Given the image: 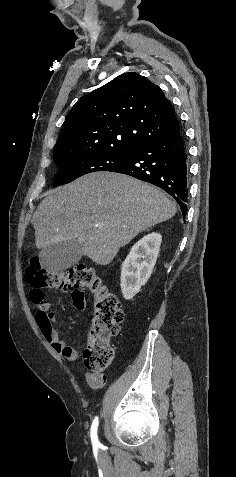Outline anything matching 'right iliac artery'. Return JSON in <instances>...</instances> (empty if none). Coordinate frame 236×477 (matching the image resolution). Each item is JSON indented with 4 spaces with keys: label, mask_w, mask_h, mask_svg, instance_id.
<instances>
[{
    "label": "right iliac artery",
    "mask_w": 236,
    "mask_h": 477,
    "mask_svg": "<svg viewBox=\"0 0 236 477\" xmlns=\"http://www.w3.org/2000/svg\"><path fill=\"white\" fill-rule=\"evenodd\" d=\"M97 428H98V417H95L91 426V441L93 446L98 447L100 445L98 436H97Z\"/></svg>",
    "instance_id": "right-iliac-artery-1"
}]
</instances>
